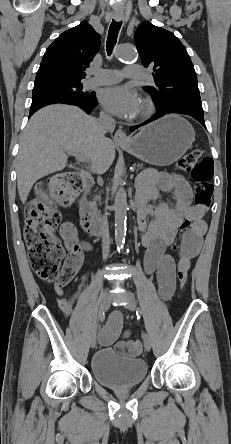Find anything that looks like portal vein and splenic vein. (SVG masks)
<instances>
[{
	"label": "portal vein and splenic vein",
	"instance_id": "portal-vein-and-splenic-vein-1",
	"mask_svg": "<svg viewBox=\"0 0 231 444\" xmlns=\"http://www.w3.org/2000/svg\"><path fill=\"white\" fill-rule=\"evenodd\" d=\"M69 154H72V155H74L79 161H82V162H85V161H87V158H86V156H84L83 154H79V153H69Z\"/></svg>",
	"mask_w": 231,
	"mask_h": 444
}]
</instances>
